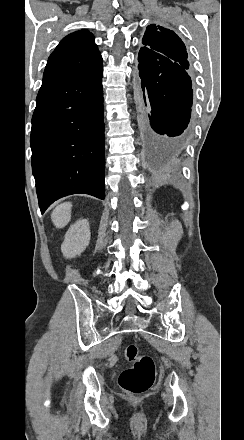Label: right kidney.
Returning a JSON list of instances; mask_svg holds the SVG:
<instances>
[{"instance_id":"obj_1","label":"right kidney","mask_w":244,"mask_h":440,"mask_svg":"<svg viewBox=\"0 0 244 440\" xmlns=\"http://www.w3.org/2000/svg\"><path fill=\"white\" fill-rule=\"evenodd\" d=\"M90 242V228L88 220H78L70 226L61 246L64 258L80 256Z\"/></svg>"}]
</instances>
